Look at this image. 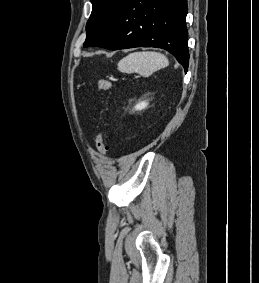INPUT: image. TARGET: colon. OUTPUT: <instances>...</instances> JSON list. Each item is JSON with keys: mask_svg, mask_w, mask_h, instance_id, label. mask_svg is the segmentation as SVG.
I'll use <instances>...</instances> for the list:
<instances>
[{"mask_svg": "<svg viewBox=\"0 0 259 283\" xmlns=\"http://www.w3.org/2000/svg\"><path fill=\"white\" fill-rule=\"evenodd\" d=\"M97 87L100 89V90H103V91H109L112 87V84L111 82L106 79V78H99L97 80ZM96 147H97V150L102 153V154H105L109 147H108V142H107V134H106V131H103L98 137H97V140H96Z\"/></svg>", "mask_w": 259, "mask_h": 283, "instance_id": "obj_1", "label": "colon"}]
</instances>
